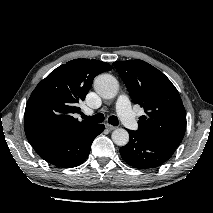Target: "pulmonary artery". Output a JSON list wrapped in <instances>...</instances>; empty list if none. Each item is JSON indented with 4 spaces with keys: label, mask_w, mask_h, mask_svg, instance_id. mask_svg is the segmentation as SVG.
I'll use <instances>...</instances> for the list:
<instances>
[{
    "label": "pulmonary artery",
    "mask_w": 213,
    "mask_h": 213,
    "mask_svg": "<svg viewBox=\"0 0 213 213\" xmlns=\"http://www.w3.org/2000/svg\"><path fill=\"white\" fill-rule=\"evenodd\" d=\"M116 109L121 121L127 128L131 130L138 128V123L131 111L129 99L126 95L119 96ZM87 113H90V111H87Z\"/></svg>",
    "instance_id": "1"
}]
</instances>
